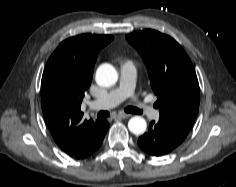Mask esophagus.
Wrapping results in <instances>:
<instances>
[{"label": "esophagus", "instance_id": "obj_1", "mask_svg": "<svg viewBox=\"0 0 236 187\" xmlns=\"http://www.w3.org/2000/svg\"><path fill=\"white\" fill-rule=\"evenodd\" d=\"M130 115L129 114H125V113H119L118 115H116V118H119V119H126V118H129Z\"/></svg>", "mask_w": 236, "mask_h": 187}]
</instances>
